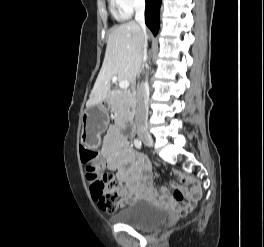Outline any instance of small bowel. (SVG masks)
Masks as SVG:
<instances>
[{
    "mask_svg": "<svg viewBox=\"0 0 264 247\" xmlns=\"http://www.w3.org/2000/svg\"><path fill=\"white\" fill-rule=\"evenodd\" d=\"M99 160L103 168L117 172L118 179L125 185L124 194L129 201L148 197L172 204L178 200L191 198L196 194L200 196L201 188L198 181L179 172L175 175L186 186L176 187L173 195L163 188L161 196H159L152 186L151 164L130 147L127 139L116 125L110 126L107 130Z\"/></svg>",
    "mask_w": 264,
    "mask_h": 247,
    "instance_id": "1",
    "label": "small bowel"
}]
</instances>
